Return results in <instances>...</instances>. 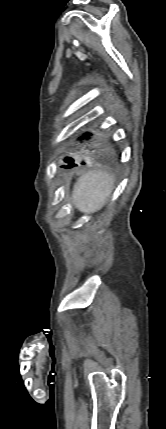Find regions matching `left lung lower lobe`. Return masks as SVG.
<instances>
[{
	"label": "left lung lower lobe",
	"mask_w": 166,
	"mask_h": 429,
	"mask_svg": "<svg viewBox=\"0 0 166 429\" xmlns=\"http://www.w3.org/2000/svg\"><path fill=\"white\" fill-rule=\"evenodd\" d=\"M91 134H86V135H84V136H82V137H80V139H82V138H87L88 136H90ZM64 162H66L67 163V165H63L62 167L63 168H73L74 166H76V164L74 163V159L73 158H71V157H66L65 159H64Z\"/></svg>",
	"instance_id": "obj_1"
}]
</instances>
